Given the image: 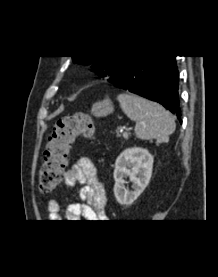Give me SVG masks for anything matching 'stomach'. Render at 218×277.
<instances>
[{"mask_svg":"<svg viewBox=\"0 0 218 277\" xmlns=\"http://www.w3.org/2000/svg\"><path fill=\"white\" fill-rule=\"evenodd\" d=\"M114 107L112 101L104 99L93 104L91 114L95 117H106L113 113Z\"/></svg>","mask_w":218,"mask_h":277,"instance_id":"0dacf381","label":"stomach"}]
</instances>
